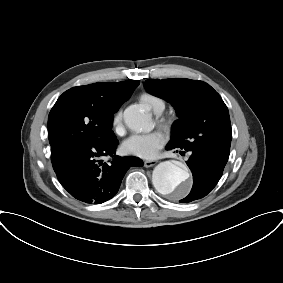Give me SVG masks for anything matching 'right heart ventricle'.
<instances>
[{
  "instance_id": "1",
  "label": "right heart ventricle",
  "mask_w": 283,
  "mask_h": 283,
  "mask_svg": "<svg viewBox=\"0 0 283 283\" xmlns=\"http://www.w3.org/2000/svg\"><path fill=\"white\" fill-rule=\"evenodd\" d=\"M139 100L156 113L162 112L165 108V101L161 97L149 92L142 93L139 96Z\"/></svg>"
}]
</instances>
